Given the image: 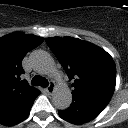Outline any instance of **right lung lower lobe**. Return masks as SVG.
<instances>
[{"mask_svg":"<svg viewBox=\"0 0 128 128\" xmlns=\"http://www.w3.org/2000/svg\"><path fill=\"white\" fill-rule=\"evenodd\" d=\"M39 94L40 91L35 90V92L17 101L8 111L0 114V124L12 126L26 119L34 100Z\"/></svg>","mask_w":128,"mask_h":128,"instance_id":"right-lung-lower-lobe-1","label":"right lung lower lobe"}]
</instances>
